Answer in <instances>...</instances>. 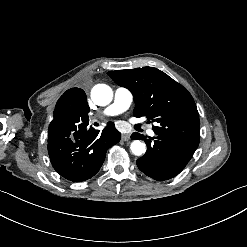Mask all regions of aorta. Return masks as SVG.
Here are the masks:
<instances>
[{
	"label": "aorta",
	"instance_id": "762f6f07",
	"mask_svg": "<svg viewBox=\"0 0 247 247\" xmlns=\"http://www.w3.org/2000/svg\"><path fill=\"white\" fill-rule=\"evenodd\" d=\"M112 98L113 91L106 84H97L91 90V99L99 106L108 105L112 101ZM130 149L134 155L140 156L146 152V145L139 140H134L131 143Z\"/></svg>",
	"mask_w": 247,
	"mask_h": 247
}]
</instances>
